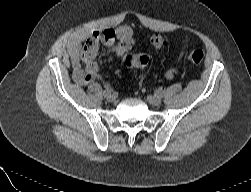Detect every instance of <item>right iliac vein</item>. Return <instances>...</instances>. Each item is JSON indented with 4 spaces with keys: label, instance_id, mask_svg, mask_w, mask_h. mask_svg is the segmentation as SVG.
Listing matches in <instances>:
<instances>
[{
    "label": "right iliac vein",
    "instance_id": "63e3f726",
    "mask_svg": "<svg viewBox=\"0 0 251 192\" xmlns=\"http://www.w3.org/2000/svg\"><path fill=\"white\" fill-rule=\"evenodd\" d=\"M106 98H107V100H108L109 102H115V101H116V96H115V94H109V95L106 96Z\"/></svg>",
    "mask_w": 251,
    "mask_h": 192
}]
</instances>
